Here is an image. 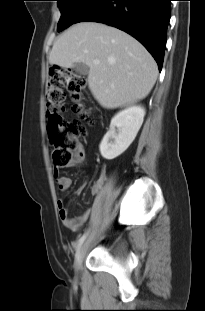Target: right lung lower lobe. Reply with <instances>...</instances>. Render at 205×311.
I'll list each match as a JSON object with an SVG mask.
<instances>
[{"label":"right lung lower lobe","mask_w":205,"mask_h":311,"mask_svg":"<svg viewBox=\"0 0 205 311\" xmlns=\"http://www.w3.org/2000/svg\"><path fill=\"white\" fill-rule=\"evenodd\" d=\"M172 0H94L75 23L114 26L142 43L162 68Z\"/></svg>","instance_id":"98d812e1"}]
</instances>
